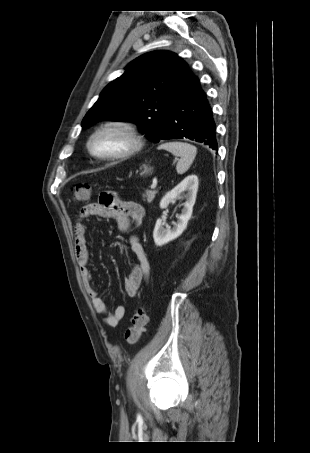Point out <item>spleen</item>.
Listing matches in <instances>:
<instances>
[{
    "label": "spleen",
    "instance_id": "3e777b00",
    "mask_svg": "<svg viewBox=\"0 0 310 453\" xmlns=\"http://www.w3.org/2000/svg\"><path fill=\"white\" fill-rule=\"evenodd\" d=\"M158 149L166 150L174 156L180 157L176 165L178 174H184L190 168L197 154V148L194 145L184 142H167L161 144Z\"/></svg>",
    "mask_w": 310,
    "mask_h": 453
}]
</instances>
